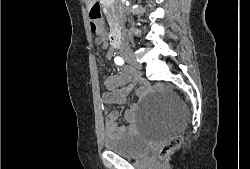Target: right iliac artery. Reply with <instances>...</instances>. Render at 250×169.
Instances as JSON below:
<instances>
[{
    "label": "right iliac artery",
    "instance_id": "82829eb1",
    "mask_svg": "<svg viewBox=\"0 0 250 169\" xmlns=\"http://www.w3.org/2000/svg\"><path fill=\"white\" fill-rule=\"evenodd\" d=\"M114 61L117 65H123L124 63V60L121 57H116Z\"/></svg>",
    "mask_w": 250,
    "mask_h": 169
}]
</instances>
